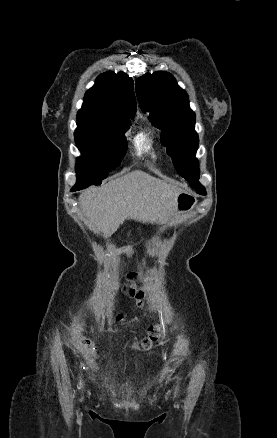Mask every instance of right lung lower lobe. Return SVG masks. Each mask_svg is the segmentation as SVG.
Masks as SVG:
<instances>
[{
  "label": "right lung lower lobe",
  "instance_id": "obj_1",
  "mask_svg": "<svg viewBox=\"0 0 277 438\" xmlns=\"http://www.w3.org/2000/svg\"><path fill=\"white\" fill-rule=\"evenodd\" d=\"M81 188H75L73 187V189L71 191H76V190H80Z\"/></svg>",
  "mask_w": 277,
  "mask_h": 438
}]
</instances>
